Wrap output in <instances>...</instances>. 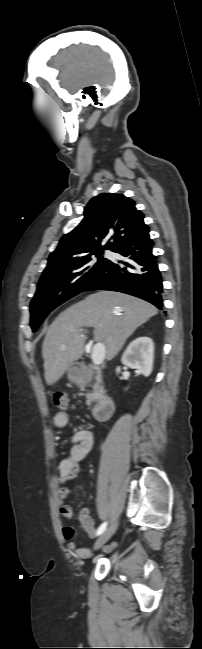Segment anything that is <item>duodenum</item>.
<instances>
[{"instance_id":"obj_1","label":"duodenum","mask_w":202,"mask_h":649,"mask_svg":"<svg viewBox=\"0 0 202 649\" xmlns=\"http://www.w3.org/2000/svg\"><path fill=\"white\" fill-rule=\"evenodd\" d=\"M114 412V402L113 400L105 396L101 398L93 409L94 416L102 421L108 420Z\"/></svg>"}]
</instances>
